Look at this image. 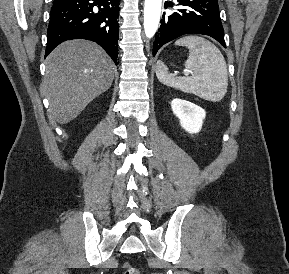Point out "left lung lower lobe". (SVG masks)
<instances>
[{
	"mask_svg": "<svg viewBox=\"0 0 289 274\" xmlns=\"http://www.w3.org/2000/svg\"><path fill=\"white\" fill-rule=\"evenodd\" d=\"M181 9L163 14L155 34L153 56L164 44L185 34H203L216 39L226 48L217 0H176ZM167 7V4H165ZM172 7L173 3H168Z\"/></svg>",
	"mask_w": 289,
	"mask_h": 274,
	"instance_id": "1",
	"label": "left lung lower lobe"
}]
</instances>
